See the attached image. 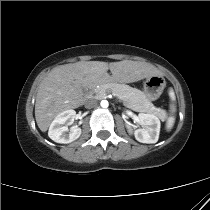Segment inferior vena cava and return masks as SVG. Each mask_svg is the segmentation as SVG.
<instances>
[{"label": "inferior vena cava", "mask_w": 210, "mask_h": 210, "mask_svg": "<svg viewBox=\"0 0 210 210\" xmlns=\"http://www.w3.org/2000/svg\"><path fill=\"white\" fill-rule=\"evenodd\" d=\"M97 104L98 102L96 99H89L85 102V107L90 109V108L96 107Z\"/></svg>", "instance_id": "602c4592"}]
</instances>
